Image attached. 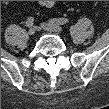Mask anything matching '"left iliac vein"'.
Segmentation results:
<instances>
[{"mask_svg": "<svg viewBox=\"0 0 109 109\" xmlns=\"http://www.w3.org/2000/svg\"><path fill=\"white\" fill-rule=\"evenodd\" d=\"M41 27L46 31L55 32V33H59L63 29L60 25L53 24L51 22L42 23Z\"/></svg>", "mask_w": 109, "mask_h": 109, "instance_id": "1", "label": "left iliac vein"}]
</instances>
